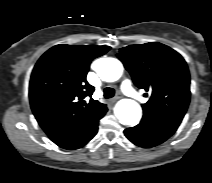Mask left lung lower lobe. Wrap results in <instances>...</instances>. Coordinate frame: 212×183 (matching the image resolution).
<instances>
[{
    "label": "left lung lower lobe",
    "instance_id": "left-lung-lower-lobe-1",
    "mask_svg": "<svg viewBox=\"0 0 212 183\" xmlns=\"http://www.w3.org/2000/svg\"><path fill=\"white\" fill-rule=\"evenodd\" d=\"M178 126L143 116L141 122L124 131L125 136L135 145L150 148L167 140Z\"/></svg>",
    "mask_w": 212,
    "mask_h": 183
}]
</instances>
